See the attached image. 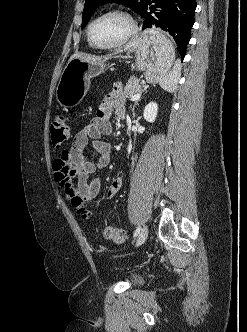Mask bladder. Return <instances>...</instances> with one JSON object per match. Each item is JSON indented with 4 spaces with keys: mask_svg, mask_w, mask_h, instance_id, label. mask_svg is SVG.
I'll return each instance as SVG.
<instances>
[{
    "mask_svg": "<svg viewBox=\"0 0 247 332\" xmlns=\"http://www.w3.org/2000/svg\"><path fill=\"white\" fill-rule=\"evenodd\" d=\"M127 281L130 285L136 286L142 283V278L138 274L131 273L128 275Z\"/></svg>",
    "mask_w": 247,
    "mask_h": 332,
    "instance_id": "1",
    "label": "bladder"
}]
</instances>
